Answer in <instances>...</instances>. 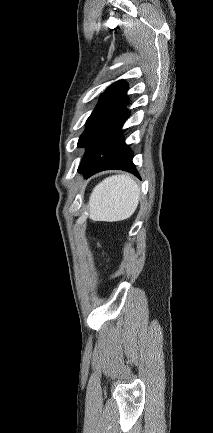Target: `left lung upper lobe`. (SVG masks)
I'll return each instance as SVG.
<instances>
[{
    "label": "left lung upper lobe",
    "instance_id": "1",
    "mask_svg": "<svg viewBox=\"0 0 213 433\" xmlns=\"http://www.w3.org/2000/svg\"><path fill=\"white\" fill-rule=\"evenodd\" d=\"M127 84L119 80L112 84L100 97L99 102L86 122L78 147H86L84 158L78 168L83 170L99 153L108 137L128 113L126 108Z\"/></svg>",
    "mask_w": 213,
    "mask_h": 433
}]
</instances>
